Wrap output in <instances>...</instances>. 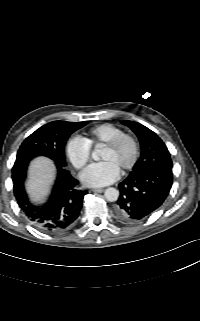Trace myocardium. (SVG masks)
Masks as SVG:
<instances>
[{
    "label": "myocardium",
    "instance_id": "1",
    "mask_svg": "<svg viewBox=\"0 0 200 321\" xmlns=\"http://www.w3.org/2000/svg\"><path fill=\"white\" fill-rule=\"evenodd\" d=\"M124 141H129L132 145V156H131L129 162L126 165H124L121 169L123 172H126V171L131 170L135 166V164L139 158L140 146H139V142H138L137 138L135 136H133L132 134L122 133V134L114 137L110 141L106 142L103 145V147L108 148V149H115Z\"/></svg>",
    "mask_w": 200,
    "mask_h": 321
}]
</instances>
